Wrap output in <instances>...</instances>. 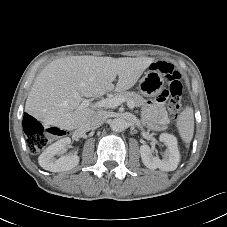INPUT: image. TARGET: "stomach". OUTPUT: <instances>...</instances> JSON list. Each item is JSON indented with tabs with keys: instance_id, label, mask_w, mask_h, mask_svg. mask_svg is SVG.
Listing matches in <instances>:
<instances>
[{
	"instance_id": "obj_1",
	"label": "stomach",
	"mask_w": 227,
	"mask_h": 227,
	"mask_svg": "<svg viewBox=\"0 0 227 227\" xmlns=\"http://www.w3.org/2000/svg\"><path fill=\"white\" fill-rule=\"evenodd\" d=\"M164 87V79L161 73L154 69H149L139 80V90L147 97L159 95Z\"/></svg>"
}]
</instances>
